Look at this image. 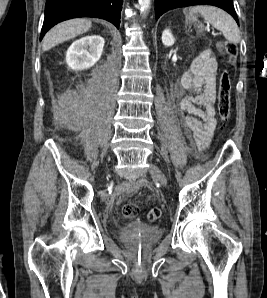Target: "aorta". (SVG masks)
I'll list each match as a JSON object with an SVG mask.
<instances>
[{"mask_svg": "<svg viewBox=\"0 0 267 298\" xmlns=\"http://www.w3.org/2000/svg\"><path fill=\"white\" fill-rule=\"evenodd\" d=\"M140 5L141 14L145 15L146 11L150 7L151 0H138Z\"/></svg>", "mask_w": 267, "mask_h": 298, "instance_id": "aorta-1", "label": "aorta"}]
</instances>
